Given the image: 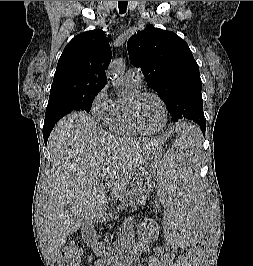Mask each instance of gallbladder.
<instances>
[{"label": "gallbladder", "instance_id": "1", "mask_svg": "<svg viewBox=\"0 0 253 266\" xmlns=\"http://www.w3.org/2000/svg\"><path fill=\"white\" fill-rule=\"evenodd\" d=\"M88 230H91V225H90V224H86V225H84V226L82 227V229H81L82 237H85L86 232H87Z\"/></svg>", "mask_w": 253, "mask_h": 266}]
</instances>
